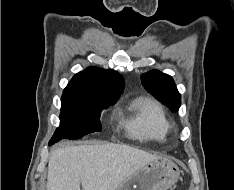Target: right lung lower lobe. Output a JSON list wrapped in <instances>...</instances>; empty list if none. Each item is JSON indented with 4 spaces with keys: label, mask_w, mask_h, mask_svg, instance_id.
I'll list each match as a JSON object with an SVG mask.
<instances>
[{
    "label": "right lung lower lobe",
    "mask_w": 234,
    "mask_h": 190,
    "mask_svg": "<svg viewBox=\"0 0 234 190\" xmlns=\"http://www.w3.org/2000/svg\"><path fill=\"white\" fill-rule=\"evenodd\" d=\"M52 145L51 142H49V146Z\"/></svg>",
    "instance_id": "98d812e1"
}]
</instances>
